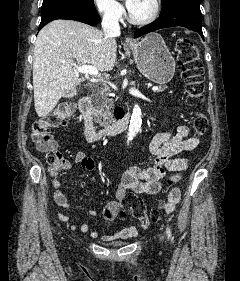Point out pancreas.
<instances>
[{
  "label": "pancreas",
  "instance_id": "1",
  "mask_svg": "<svg viewBox=\"0 0 240 281\" xmlns=\"http://www.w3.org/2000/svg\"><path fill=\"white\" fill-rule=\"evenodd\" d=\"M166 89V86H159L157 92H162ZM93 97V109L92 113L95 117V122L99 123L101 126H108L110 124V119L112 112L111 109L114 107V100L108 97L102 89H95L92 93Z\"/></svg>",
  "mask_w": 240,
  "mask_h": 281
}]
</instances>
